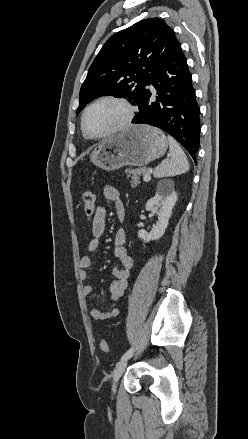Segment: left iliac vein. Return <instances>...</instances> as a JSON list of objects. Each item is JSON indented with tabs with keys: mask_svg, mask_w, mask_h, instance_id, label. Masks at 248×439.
<instances>
[{
	"mask_svg": "<svg viewBox=\"0 0 248 439\" xmlns=\"http://www.w3.org/2000/svg\"><path fill=\"white\" fill-rule=\"evenodd\" d=\"M127 363H128V359L119 361L117 363L114 371H113V375H112V391L113 392L116 391L117 383H118L120 377L122 376V374L124 373L126 366H127Z\"/></svg>",
	"mask_w": 248,
	"mask_h": 439,
	"instance_id": "obj_1",
	"label": "left iliac vein"
}]
</instances>
